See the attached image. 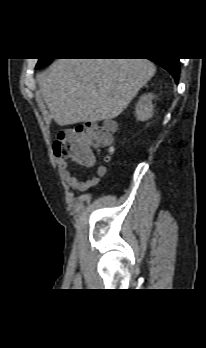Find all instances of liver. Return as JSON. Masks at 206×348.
<instances>
[{"mask_svg": "<svg viewBox=\"0 0 206 348\" xmlns=\"http://www.w3.org/2000/svg\"><path fill=\"white\" fill-rule=\"evenodd\" d=\"M155 72L148 59H57L40 75L38 92L60 126L109 120Z\"/></svg>", "mask_w": 206, "mask_h": 348, "instance_id": "1", "label": "liver"}]
</instances>
